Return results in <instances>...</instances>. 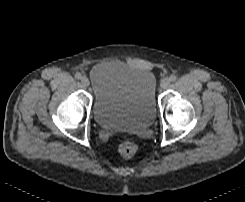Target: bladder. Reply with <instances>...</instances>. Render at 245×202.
Masks as SVG:
<instances>
[{
    "mask_svg": "<svg viewBox=\"0 0 245 202\" xmlns=\"http://www.w3.org/2000/svg\"><path fill=\"white\" fill-rule=\"evenodd\" d=\"M92 115L104 129L150 126L157 114V81L149 69L122 61L99 63L90 73Z\"/></svg>",
    "mask_w": 245,
    "mask_h": 202,
    "instance_id": "bladder-1",
    "label": "bladder"
}]
</instances>
